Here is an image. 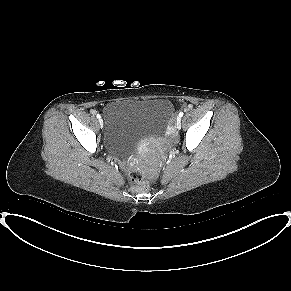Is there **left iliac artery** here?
I'll use <instances>...</instances> for the list:
<instances>
[{"mask_svg": "<svg viewBox=\"0 0 291 291\" xmlns=\"http://www.w3.org/2000/svg\"><path fill=\"white\" fill-rule=\"evenodd\" d=\"M183 114H184L183 112H180L179 115H178L179 118H181L183 116Z\"/></svg>", "mask_w": 291, "mask_h": 291, "instance_id": "left-iliac-artery-1", "label": "left iliac artery"}]
</instances>
